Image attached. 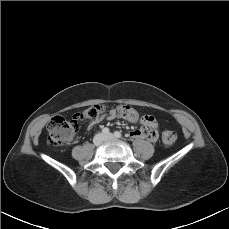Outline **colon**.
I'll list each match as a JSON object with an SVG mask.
<instances>
[{
    "mask_svg": "<svg viewBox=\"0 0 229 229\" xmlns=\"http://www.w3.org/2000/svg\"><path fill=\"white\" fill-rule=\"evenodd\" d=\"M104 106L93 105L75 114L74 120L69 121L61 115H56L50 119L47 124L48 141L52 145L58 146L68 142L77 128L78 120H98L103 112ZM118 113L131 121H137L140 114L131 105L122 104L117 107ZM162 141L166 146H172L177 141V134L174 131H165L162 135Z\"/></svg>",
    "mask_w": 229,
    "mask_h": 229,
    "instance_id": "1",
    "label": "colon"
}]
</instances>
